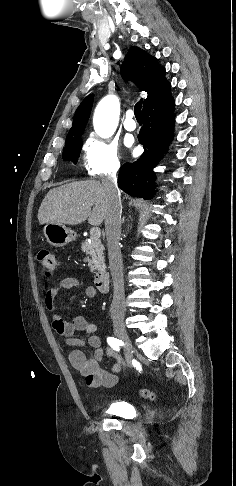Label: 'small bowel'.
<instances>
[{"mask_svg":"<svg viewBox=\"0 0 236 486\" xmlns=\"http://www.w3.org/2000/svg\"><path fill=\"white\" fill-rule=\"evenodd\" d=\"M80 285L78 278L65 277L56 286H45V306L53 313V328L60 336L64 337L66 344L73 348L68 356L70 364L85 378L87 386L93 389L110 388L117 384V374L125 366L122 356L115 352L113 348L103 349L100 338L95 335L97 331L96 324L88 322L80 315L68 322L58 312L55 304V298L61 290L77 289ZM85 294L88 297H93L95 290L92 287H86ZM80 334L89 335L87 342L78 337ZM86 344L89 347L88 354L80 349ZM105 355L114 359L110 371L101 367V362Z\"/></svg>","mask_w":236,"mask_h":486,"instance_id":"1","label":"small bowel"}]
</instances>
